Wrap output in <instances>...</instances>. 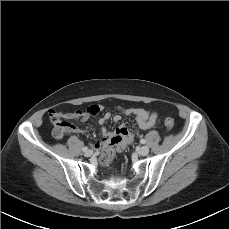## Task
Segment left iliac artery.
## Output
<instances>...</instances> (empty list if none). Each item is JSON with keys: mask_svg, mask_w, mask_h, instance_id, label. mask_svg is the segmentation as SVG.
I'll list each match as a JSON object with an SVG mask.
<instances>
[{"mask_svg": "<svg viewBox=\"0 0 229 229\" xmlns=\"http://www.w3.org/2000/svg\"><path fill=\"white\" fill-rule=\"evenodd\" d=\"M140 142H141L142 144H145V143H146L145 139H141Z\"/></svg>", "mask_w": 229, "mask_h": 229, "instance_id": "44dca946", "label": "left iliac artery"}]
</instances>
